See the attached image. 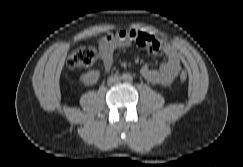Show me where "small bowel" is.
I'll return each instance as SVG.
<instances>
[{"instance_id":"obj_1","label":"small bowel","mask_w":243,"mask_h":167,"mask_svg":"<svg viewBox=\"0 0 243 167\" xmlns=\"http://www.w3.org/2000/svg\"><path fill=\"white\" fill-rule=\"evenodd\" d=\"M122 38L112 44L99 46V57L106 71L113 66L116 50L126 49L132 45L146 49L149 53L162 52L166 60L158 69H153L145 64L141 70V76L155 85L170 86L182 70L181 59L177 49L169 42L160 40L154 35L138 29L120 31Z\"/></svg>"}]
</instances>
